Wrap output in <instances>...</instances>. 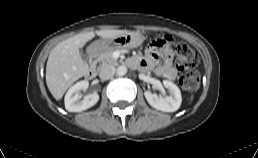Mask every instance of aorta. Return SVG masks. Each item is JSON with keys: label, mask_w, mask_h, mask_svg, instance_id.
<instances>
[{"label": "aorta", "mask_w": 258, "mask_h": 158, "mask_svg": "<svg viewBox=\"0 0 258 158\" xmlns=\"http://www.w3.org/2000/svg\"><path fill=\"white\" fill-rule=\"evenodd\" d=\"M116 72H117V75L124 76L127 73V68H126V66H123V65L119 66L117 68Z\"/></svg>", "instance_id": "1"}]
</instances>
